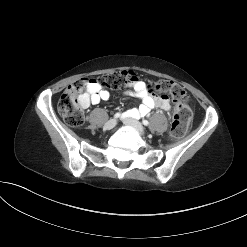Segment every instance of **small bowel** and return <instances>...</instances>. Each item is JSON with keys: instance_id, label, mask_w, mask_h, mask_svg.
I'll return each mask as SVG.
<instances>
[{"instance_id": "1", "label": "small bowel", "mask_w": 247, "mask_h": 247, "mask_svg": "<svg viewBox=\"0 0 247 247\" xmlns=\"http://www.w3.org/2000/svg\"><path fill=\"white\" fill-rule=\"evenodd\" d=\"M86 106L89 104H98L102 100H108L110 93L103 89L95 80L85 79ZM127 94L138 98L141 104L137 108L127 111L128 116L140 118L149 114L154 108H160L164 111L171 109V104L167 95H156L151 92L150 85L140 80L134 73L132 79L127 83Z\"/></svg>"}]
</instances>
